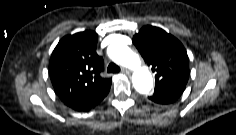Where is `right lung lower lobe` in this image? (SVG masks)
I'll return each mask as SVG.
<instances>
[{
    "label": "right lung lower lobe",
    "mask_w": 236,
    "mask_h": 135,
    "mask_svg": "<svg viewBox=\"0 0 236 135\" xmlns=\"http://www.w3.org/2000/svg\"><path fill=\"white\" fill-rule=\"evenodd\" d=\"M110 86L111 83L107 85L103 90H101L100 92H98L93 96L83 99L68 100L63 102L75 111L87 112L91 110V108H94L97 104H99V102H101L106 97V95L110 90Z\"/></svg>",
    "instance_id": "98d812e1"
}]
</instances>
